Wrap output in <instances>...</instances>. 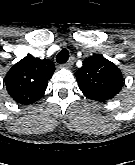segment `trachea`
Listing matches in <instances>:
<instances>
[{
  "instance_id": "3493384b",
  "label": "trachea",
  "mask_w": 135,
  "mask_h": 165,
  "mask_svg": "<svg viewBox=\"0 0 135 165\" xmlns=\"http://www.w3.org/2000/svg\"><path fill=\"white\" fill-rule=\"evenodd\" d=\"M68 58H69V52L67 49L63 48L56 56V61L58 63L64 64L67 62Z\"/></svg>"
}]
</instances>
